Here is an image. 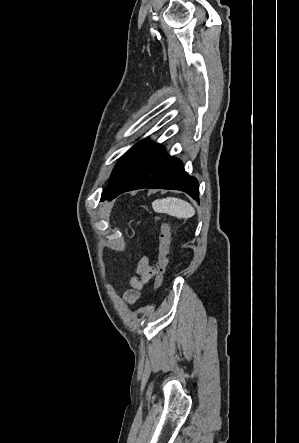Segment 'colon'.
I'll return each mask as SVG.
<instances>
[{"label":"colon","instance_id":"colon-1","mask_svg":"<svg viewBox=\"0 0 299 443\" xmlns=\"http://www.w3.org/2000/svg\"><path fill=\"white\" fill-rule=\"evenodd\" d=\"M158 248V260L155 268L156 289L160 288L163 284L170 250V228L169 225L163 220L159 221Z\"/></svg>","mask_w":299,"mask_h":443}]
</instances>
